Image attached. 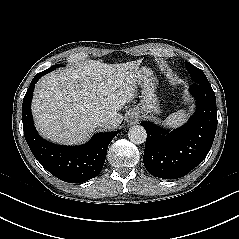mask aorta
Returning <instances> with one entry per match:
<instances>
[{
	"label": "aorta",
	"instance_id": "aorta-1",
	"mask_svg": "<svg viewBox=\"0 0 239 239\" xmlns=\"http://www.w3.org/2000/svg\"><path fill=\"white\" fill-rule=\"evenodd\" d=\"M128 137L132 143L142 144L146 141V130L140 125H134L129 129Z\"/></svg>",
	"mask_w": 239,
	"mask_h": 239
}]
</instances>
